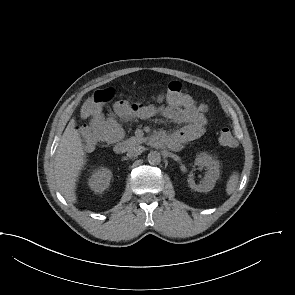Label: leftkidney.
<instances>
[{
    "instance_id": "1",
    "label": "left kidney",
    "mask_w": 295,
    "mask_h": 295,
    "mask_svg": "<svg viewBox=\"0 0 295 295\" xmlns=\"http://www.w3.org/2000/svg\"><path fill=\"white\" fill-rule=\"evenodd\" d=\"M195 165L199 167H206L207 172L204 176V180L199 185L195 183L193 175L190 174L187 180L190 188L198 192L211 191L214 188L216 181L220 177L218 161L214 160L210 155L206 153H201L195 159Z\"/></svg>"
}]
</instances>
